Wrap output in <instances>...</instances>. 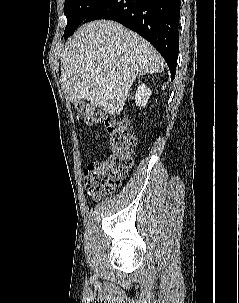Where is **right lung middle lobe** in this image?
<instances>
[{
  "label": "right lung middle lobe",
  "instance_id": "1",
  "mask_svg": "<svg viewBox=\"0 0 239 303\" xmlns=\"http://www.w3.org/2000/svg\"><path fill=\"white\" fill-rule=\"evenodd\" d=\"M106 0H65L64 14L67 17V26L64 38L67 39L76 28Z\"/></svg>",
  "mask_w": 239,
  "mask_h": 303
}]
</instances>
